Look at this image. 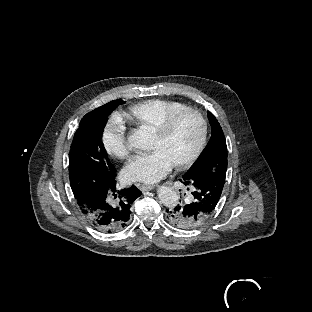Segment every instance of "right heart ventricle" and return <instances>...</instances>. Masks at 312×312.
I'll return each instance as SVG.
<instances>
[{
  "label": "right heart ventricle",
  "mask_w": 312,
  "mask_h": 312,
  "mask_svg": "<svg viewBox=\"0 0 312 312\" xmlns=\"http://www.w3.org/2000/svg\"><path fill=\"white\" fill-rule=\"evenodd\" d=\"M177 102L172 97H165L159 102L154 98L139 100L131 107V114L140 122L155 124L159 119H164L174 113Z\"/></svg>",
  "instance_id": "e07e8e85"
}]
</instances>
